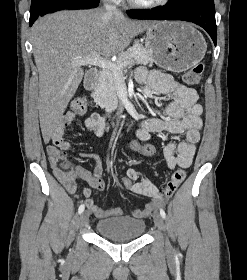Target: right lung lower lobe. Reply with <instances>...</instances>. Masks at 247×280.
Returning a JSON list of instances; mask_svg holds the SVG:
<instances>
[{
	"label": "right lung lower lobe",
	"mask_w": 247,
	"mask_h": 280,
	"mask_svg": "<svg viewBox=\"0 0 247 280\" xmlns=\"http://www.w3.org/2000/svg\"><path fill=\"white\" fill-rule=\"evenodd\" d=\"M100 0H56L45 6L36 16L30 17V26L38 16L63 9H86L98 6Z\"/></svg>",
	"instance_id": "1"
}]
</instances>
